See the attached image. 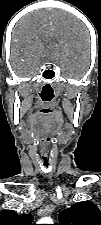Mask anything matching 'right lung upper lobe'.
I'll return each instance as SVG.
<instances>
[{"instance_id":"obj_1","label":"right lung upper lobe","mask_w":101,"mask_h":225,"mask_svg":"<svg viewBox=\"0 0 101 225\" xmlns=\"http://www.w3.org/2000/svg\"><path fill=\"white\" fill-rule=\"evenodd\" d=\"M31 214L18 215L13 210L0 212V225H34Z\"/></svg>"}]
</instances>
